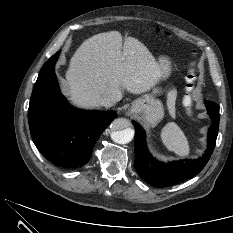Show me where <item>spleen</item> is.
I'll use <instances>...</instances> for the list:
<instances>
[{
  "label": "spleen",
  "instance_id": "spleen-1",
  "mask_svg": "<svg viewBox=\"0 0 233 233\" xmlns=\"http://www.w3.org/2000/svg\"><path fill=\"white\" fill-rule=\"evenodd\" d=\"M163 144L169 151L186 157L190 153L188 140L181 128L174 122L167 123L161 131Z\"/></svg>",
  "mask_w": 233,
  "mask_h": 233
}]
</instances>
